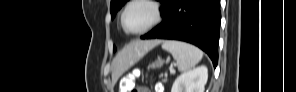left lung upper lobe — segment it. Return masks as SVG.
Wrapping results in <instances>:
<instances>
[{
	"instance_id": "obj_1",
	"label": "left lung upper lobe",
	"mask_w": 296,
	"mask_h": 92,
	"mask_svg": "<svg viewBox=\"0 0 296 92\" xmlns=\"http://www.w3.org/2000/svg\"><path fill=\"white\" fill-rule=\"evenodd\" d=\"M128 0H111V4H110V12H111V16L112 19L114 18V16L116 15L117 11L127 2ZM162 7L160 9L161 11V15L163 16L164 11L168 5L169 0H160ZM116 50V48L114 47V51Z\"/></svg>"
}]
</instances>
